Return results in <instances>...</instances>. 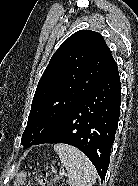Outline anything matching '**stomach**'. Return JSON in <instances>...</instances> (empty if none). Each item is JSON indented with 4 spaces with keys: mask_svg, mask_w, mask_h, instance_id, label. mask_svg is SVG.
<instances>
[{
    "mask_svg": "<svg viewBox=\"0 0 138 186\" xmlns=\"http://www.w3.org/2000/svg\"><path fill=\"white\" fill-rule=\"evenodd\" d=\"M26 173L20 172L16 175V180L14 181V186H20L21 184L24 183L26 179Z\"/></svg>",
    "mask_w": 138,
    "mask_h": 186,
    "instance_id": "stomach-1",
    "label": "stomach"
}]
</instances>
